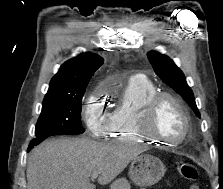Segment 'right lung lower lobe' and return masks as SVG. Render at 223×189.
<instances>
[{"instance_id": "1", "label": "right lung lower lobe", "mask_w": 223, "mask_h": 189, "mask_svg": "<svg viewBox=\"0 0 223 189\" xmlns=\"http://www.w3.org/2000/svg\"><path fill=\"white\" fill-rule=\"evenodd\" d=\"M47 137H44V138H40V139H33L30 144H29V147H28V152L36 145H38L39 143H41L44 139H46Z\"/></svg>"}]
</instances>
